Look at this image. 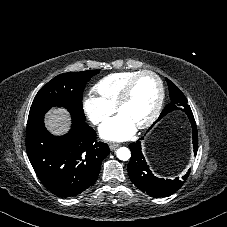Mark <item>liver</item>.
<instances>
[{
    "mask_svg": "<svg viewBox=\"0 0 227 227\" xmlns=\"http://www.w3.org/2000/svg\"><path fill=\"white\" fill-rule=\"evenodd\" d=\"M70 115L62 108H53L46 114V126L54 134L61 135L68 131Z\"/></svg>",
    "mask_w": 227,
    "mask_h": 227,
    "instance_id": "obj_1",
    "label": "liver"
}]
</instances>
